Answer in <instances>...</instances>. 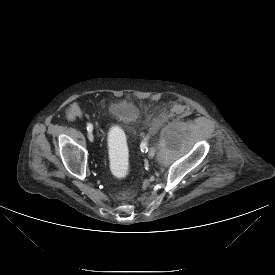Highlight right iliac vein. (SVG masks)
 Returning a JSON list of instances; mask_svg holds the SVG:
<instances>
[{
	"label": "right iliac vein",
	"instance_id": "right-iliac-vein-1",
	"mask_svg": "<svg viewBox=\"0 0 275 275\" xmlns=\"http://www.w3.org/2000/svg\"><path fill=\"white\" fill-rule=\"evenodd\" d=\"M87 137H88L89 141H91V142L94 141V136L92 133H88Z\"/></svg>",
	"mask_w": 275,
	"mask_h": 275
}]
</instances>
